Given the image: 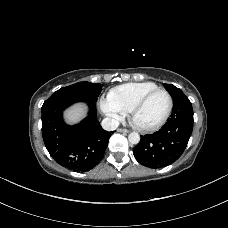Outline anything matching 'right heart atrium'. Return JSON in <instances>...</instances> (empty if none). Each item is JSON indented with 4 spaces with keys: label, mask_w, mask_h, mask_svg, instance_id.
<instances>
[{
    "label": "right heart atrium",
    "mask_w": 228,
    "mask_h": 228,
    "mask_svg": "<svg viewBox=\"0 0 228 228\" xmlns=\"http://www.w3.org/2000/svg\"><path fill=\"white\" fill-rule=\"evenodd\" d=\"M99 104L102 112L112 121L117 122L122 118L124 113L109 99L108 96L102 97Z\"/></svg>",
    "instance_id": "right-heart-atrium-1"
}]
</instances>
